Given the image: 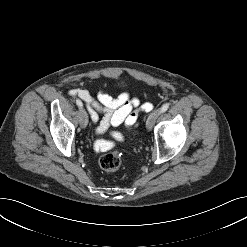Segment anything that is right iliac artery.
Here are the masks:
<instances>
[{
    "label": "right iliac artery",
    "instance_id": "1",
    "mask_svg": "<svg viewBox=\"0 0 247 247\" xmlns=\"http://www.w3.org/2000/svg\"><path fill=\"white\" fill-rule=\"evenodd\" d=\"M76 104L78 105V107H82L83 106L82 102L79 99L76 100Z\"/></svg>",
    "mask_w": 247,
    "mask_h": 247
}]
</instances>
